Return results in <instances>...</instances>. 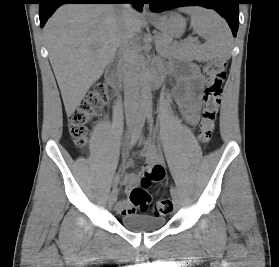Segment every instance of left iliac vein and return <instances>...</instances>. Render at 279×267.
<instances>
[{"instance_id":"1","label":"left iliac vein","mask_w":279,"mask_h":267,"mask_svg":"<svg viewBox=\"0 0 279 267\" xmlns=\"http://www.w3.org/2000/svg\"><path fill=\"white\" fill-rule=\"evenodd\" d=\"M174 209L178 210L180 208V202L176 195L172 196Z\"/></svg>"}]
</instances>
